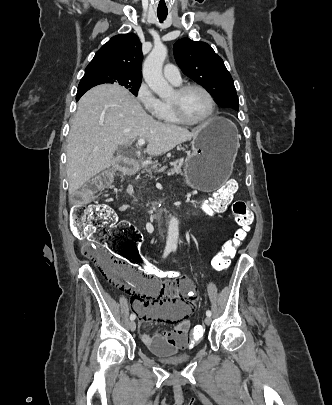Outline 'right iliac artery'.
<instances>
[{
    "mask_svg": "<svg viewBox=\"0 0 332 405\" xmlns=\"http://www.w3.org/2000/svg\"><path fill=\"white\" fill-rule=\"evenodd\" d=\"M170 251H171L170 248H166V249L164 250V253H163V258L167 257L168 254L170 253ZM135 318H136V315H135L134 313H132V314L130 315V320H135Z\"/></svg>",
    "mask_w": 332,
    "mask_h": 405,
    "instance_id": "82829eb1",
    "label": "right iliac artery"
}]
</instances>
